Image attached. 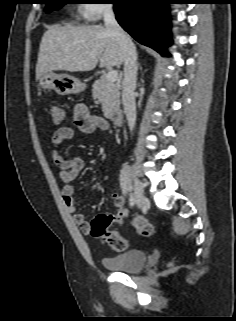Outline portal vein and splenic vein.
I'll return each instance as SVG.
<instances>
[{
  "label": "portal vein and splenic vein",
  "mask_w": 236,
  "mask_h": 321,
  "mask_svg": "<svg viewBox=\"0 0 236 321\" xmlns=\"http://www.w3.org/2000/svg\"><path fill=\"white\" fill-rule=\"evenodd\" d=\"M106 78L109 82L114 83L118 79V72L115 70H110L107 72Z\"/></svg>",
  "instance_id": "obj_1"
}]
</instances>
